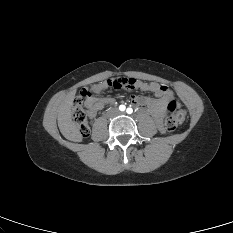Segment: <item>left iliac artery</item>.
Returning <instances> with one entry per match:
<instances>
[{"label": "left iliac artery", "instance_id": "1", "mask_svg": "<svg viewBox=\"0 0 233 233\" xmlns=\"http://www.w3.org/2000/svg\"><path fill=\"white\" fill-rule=\"evenodd\" d=\"M126 112H127L128 114H131V113L133 112V109H132V108H127Z\"/></svg>", "mask_w": 233, "mask_h": 233}]
</instances>
